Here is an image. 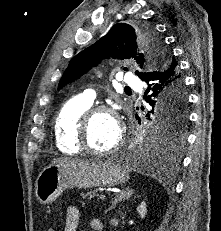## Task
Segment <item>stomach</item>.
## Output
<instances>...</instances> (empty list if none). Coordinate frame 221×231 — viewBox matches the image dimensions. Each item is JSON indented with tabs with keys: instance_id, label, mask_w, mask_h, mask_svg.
<instances>
[{
	"instance_id": "0dacf381",
	"label": "stomach",
	"mask_w": 221,
	"mask_h": 231,
	"mask_svg": "<svg viewBox=\"0 0 221 231\" xmlns=\"http://www.w3.org/2000/svg\"><path fill=\"white\" fill-rule=\"evenodd\" d=\"M127 180V171L113 160H80L55 164L44 168L39 174L35 195L41 204H49L70 187H114Z\"/></svg>"
}]
</instances>
